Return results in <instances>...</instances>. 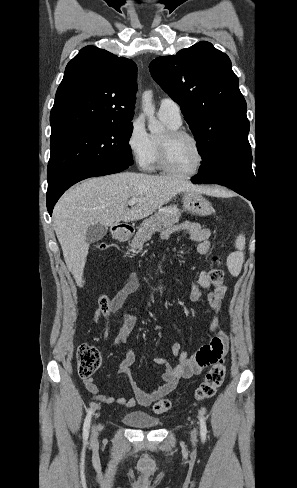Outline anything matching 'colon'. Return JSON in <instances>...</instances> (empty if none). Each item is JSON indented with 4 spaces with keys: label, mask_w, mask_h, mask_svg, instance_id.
Returning <instances> with one entry per match:
<instances>
[{
    "label": "colon",
    "mask_w": 297,
    "mask_h": 488,
    "mask_svg": "<svg viewBox=\"0 0 297 488\" xmlns=\"http://www.w3.org/2000/svg\"><path fill=\"white\" fill-rule=\"evenodd\" d=\"M98 249H116V246L110 243H100ZM220 259L214 257L211 260L212 269L210 270L209 277L216 287L223 285V273L219 268ZM100 311L106 314L110 310V300L106 295L100 298ZM101 365V354L99 350L90 344H81L77 349V366L78 373L81 377H91ZM226 374V367L222 359L215 363L209 371L206 373L203 381L198 385L195 390V398L198 401H205L213 397L224 381ZM173 403L171 400L162 398L158 400L153 410L157 414H162L171 409Z\"/></svg>",
    "instance_id": "colon-1"
}]
</instances>
